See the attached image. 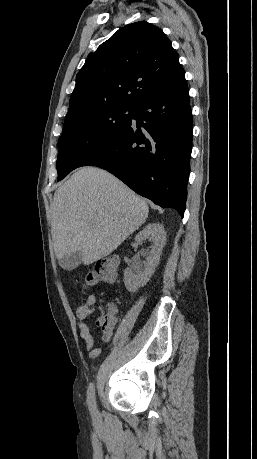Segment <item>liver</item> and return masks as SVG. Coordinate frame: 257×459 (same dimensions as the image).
Listing matches in <instances>:
<instances>
[{
	"label": "liver",
	"mask_w": 257,
	"mask_h": 459,
	"mask_svg": "<svg viewBox=\"0 0 257 459\" xmlns=\"http://www.w3.org/2000/svg\"><path fill=\"white\" fill-rule=\"evenodd\" d=\"M147 203L109 172L83 167L54 194L51 233L58 260L80 251L89 265L108 256L147 219Z\"/></svg>",
	"instance_id": "obj_1"
}]
</instances>
